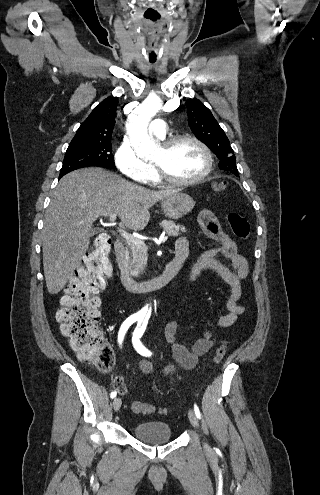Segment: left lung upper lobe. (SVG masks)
I'll use <instances>...</instances> for the list:
<instances>
[{
	"instance_id": "1",
	"label": "left lung upper lobe",
	"mask_w": 320,
	"mask_h": 495,
	"mask_svg": "<svg viewBox=\"0 0 320 495\" xmlns=\"http://www.w3.org/2000/svg\"><path fill=\"white\" fill-rule=\"evenodd\" d=\"M186 107L190 128L220 159L219 168L239 176L234 151L211 111L198 99H188Z\"/></svg>"
}]
</instances>
